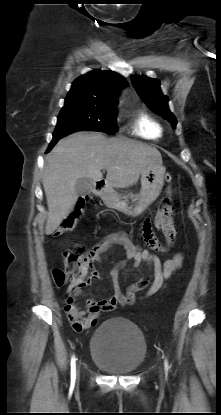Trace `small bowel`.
Wrapping results in <instances>:
<instances>
[{"label":"small bowel","instance_id":"c3829d8e","mask_svg":"<svg viewBox=\"0 0 221 415\" xmlns=\"http://www.w3.org/2000/svg\"><path fill=\"white\" fill-rule=\"evenodd\" d=\"M155 227L149 219L143 222L142 235L147 245L146 249L136 244L127 233L116 232L103 237L90 250L92 259L98 260L104 252L113 246H120L123 248L127 260L118 262L110 271L114 289V294L110 298L103 300L88 299L86 307L81 308L77 305L76 299L82 293L83 286L70 285L68 287L65 296V311L74 330L82 331L94 326L102 312H111L118 305H132L138 299L150 297L165 288L166 281L182 266L183 254L177 253L171 259L162 260L157 254L170 250L176 239V230L172 220L160 228L165 237V243H161L156 237ZM142 264L148 266L149 272L130 285L127 291L123 293L118 280L120 271L128 266L137 268ZM89 278L91 280L97 279L98 273L92 272ZM151 278L152 283L146 294L137 297L136 293L145 289Z\"/></svg>","mask_w":221,"mask_h":415}]
</instances>
